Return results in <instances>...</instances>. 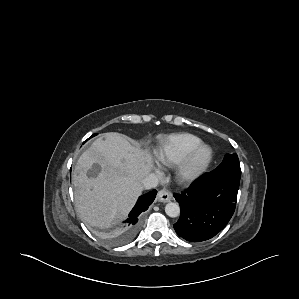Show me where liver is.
Masks as SVG:
<instances>
[{
  "label": "liver",
  "instance_id": "1",
  "mask_svg": "<svg viewBox=\"0 0 299 299\" xmlns=\"http://www.w3.org/2000/svg\"><path fill=\"white\" fill-rule=\"evenodd\" d=\"M100 166L95 177L87 172ZM153 169L147 150L131 145L127 137L109 132L97 138L77 160L72 175L77 212L85 223L109 228L124 219L143 190V179Z\"/></svg>",
  "mask_w": 299,
  "mask_h": 299
}]
</instances>
